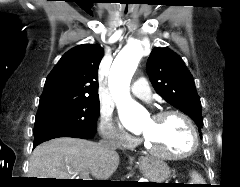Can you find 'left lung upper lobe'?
<instances>
[{"label":"left lung upper lobe","instance_id":"5c2ea615","mask_svg":"<svg viewBox=\"0 0 240 187\" xmlns=\"http://www.w3.org/2000/svg\"><path fill=\"white\" fill-rule=\"evenodd\" d=\"M147 73L156 92L191 117L201 131L200 98L193 76L181 57L168 48H154L147 62Z\"/></svg>","mask_w":240,"mask_h":187}]
</instances>
